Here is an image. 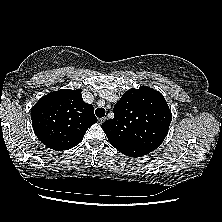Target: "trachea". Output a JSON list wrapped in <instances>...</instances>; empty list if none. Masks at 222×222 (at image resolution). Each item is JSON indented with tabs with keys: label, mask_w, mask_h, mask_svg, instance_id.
<instances>
[{
	"label": "trachea",
	"mask_w": 222,
	"mask_h": 222,
	"mask_svg": "<svg viewBox=\"0 0 222 222\" xmlns=\"http://www.w3.org/2000/svg\"><path fill=\"white\" fill-rule=\"evenodd\" d=\"M105 109L104 108H98V109H96V111H95V114H96V116L97 117H104V115H105Z\"/></svg>",
	"instance_id": "trachea-1"
}]
</instances>
